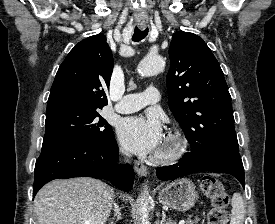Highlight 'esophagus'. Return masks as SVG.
Wrapping results in <instances>:
<instances>
[{
    "instance_id": "34e87169",
    "label": "esophagus",
    "mask_w": 275,
    "mask_h": 224,
    "mask_svg": "<svg viewBox=\"0 0 275 224\" xmlns=\"http://www.w3.org/2000/svg\"><path fill=\"white\" fill-rule=\"evenodd\" d=\"M140 27L141 29H144L146 27V23L145 22H140ZM134 168L136 173L140 176H146L148 171H147V167L144 163H142L141 161L136 160L134 162Z\"/></svg>"
}]
</instances>
